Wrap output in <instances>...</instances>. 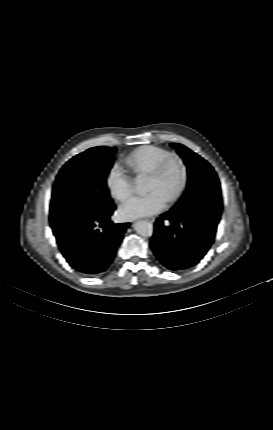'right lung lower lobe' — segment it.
Segmentation results:
<instances>
[{"instance_id": "98d812e1", "label": "right lung lower lobe", "mask_w": 273, "mask_h": 430, "mask_svg": "<svg viewBox=\"0 0 273 430\" xmlns=\"http://www.w3.org/2000/svg\"><path fill=\"white\" fill-rule=\"evenodd\" d=\"M114 209L54 231L63 256L83 275L101 274L115 257L129 223L113 224Z\"/></svg>"}]
</instances>
